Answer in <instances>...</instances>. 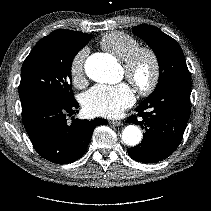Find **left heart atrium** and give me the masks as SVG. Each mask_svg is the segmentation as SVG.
I'll return each instance as SVG.
<instances>
[{
	"label": "left heart atrium",
	"instance_id": "obj_1",
	"mask_svg": "<svg viewBox=\"0 0 211 211\" xmlns=\"http://www.w3.org/2000/svg\"><path fill=\"white\" fill-rule=\"evenodd\" d=\"M135 101V95L127 83L96 85L82 99L84 111L91 116L117 117Z\"/></svg>",
	"mask_w": 211,
	"mask_h": 211
}]
</instances>
